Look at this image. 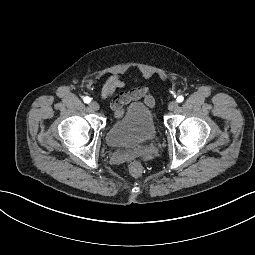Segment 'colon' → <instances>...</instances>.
Instances as JSON below:
<instances>
[{"instance_id": "obj_1", "label": "colon", "mask_w": 255, "mask_h": 255, "mask_svg": "<svg viewBox=\"0 0 255 255\" xmlns=\"http://www.w3.org/2000/svg\"><path fill=\"white\" fill-rule=\"evenodd\" d=\"M129 172L134 178H139L143 173V168L139 162L134 161L129 165Z\"/></svg>"}]
</instances>
